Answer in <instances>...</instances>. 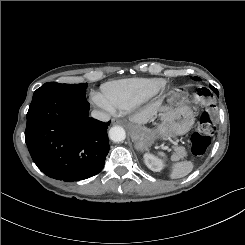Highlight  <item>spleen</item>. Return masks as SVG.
Instances as JSON below:
<instances>
[{"mask_svg":"<svg viewBox=\"0 0 245 245\" xmlns=\"http://www.w3.org/2000/svg\"><path fill=\"white\" fill-rule=\"evenodd\" d=\"M159 155L163 158H166V155L162 152H160ZM193 167L194 164L191 161L177 162L172 166V172L170 174V177L172 179L182 178L188 175L193 170Z\"/></svg>","mask_w":245,"mask_h":245,"instance_id":"spleen-1","label":"spleen"}]
</instances>
